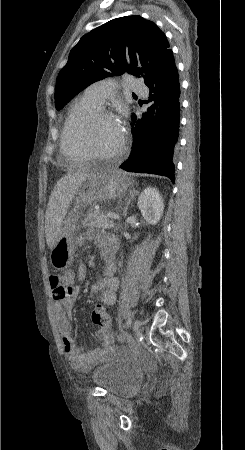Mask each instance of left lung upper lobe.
Returning a JSON list of instances; mask_svg holds the SVG:
<instances>
[{"instance_id":"5c2ea615","label":"left lung upper lobe","mask_w":245,"mask_h":450,"mask_svg":"<svg viewBox=\"0 0 245 450\" xmlns=\"http://www.w3.org/2000/svg\"><path fill=\"white\" fill-rule=\"evenodd\" d=\"M165 34L140 16L113 19L84 35L71 50L55 86L60 110L90 84L129 73L145 83L173 57Z\"/></svg>"}]
</instances>
